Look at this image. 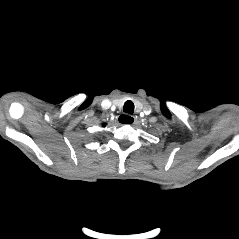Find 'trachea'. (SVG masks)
Here are the masks:
<instances>
[{"mask_svg": "<svg viewBox=\"0 0 239 239\" xmlns=\"http://www.w3.org/2000/svg\"><path fill=\"white\" fill-rule=\"evenodd\" d=\"M123 111L125 113H128V114L132 115L133 112H134V104H133V102L130 101V100L126 101L125 104H124V107H123Z\"/></svg>", "mask_w": 239, "mask_h": 239, "instance_id": "1", "label": "trachea"}]
</instances>
